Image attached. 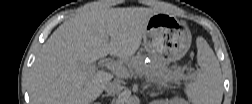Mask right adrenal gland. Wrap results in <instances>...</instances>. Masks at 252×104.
I'll list each match as a JSON object with an SVG mask.
<instances>
[{"instance_id":"right-adrenal-gland-1","label":"right adrenal gland","mask_w":252,"mask_h":104,"mask_svg":"<svg viewBox=\"0 0 252 104\" xmlns=\"http://www.w3.org/2000/svg\"><path fill=\"white\" fill-rule=\"evenodd\" d=\"M109 96H112L111 94H103L102 95V99L104 98V97H109Z\"/></svg>"}]
</instances>
